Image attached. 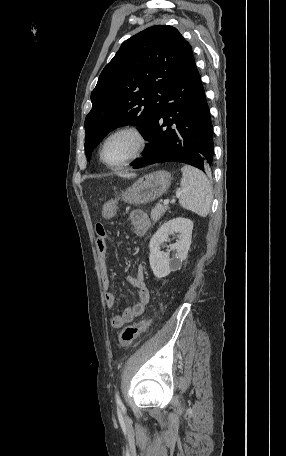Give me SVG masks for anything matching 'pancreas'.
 Returning a JSON list of instances; mask_svg holds the SVG:
<instances>
[{
    "label": "pancreas",
    "mask_w": 286,
    "mask_h": 456,
    "mask_svg": "<svg viewBox=\"0 0 286 456\" xmlns=\"http://www.w3.org/2000/svg\"><path fill=\"white\" fill-rule=\"evenodd\" d=\"M167 209H169L167 205L157 204L151 211V219L154 222H157L162 217V215H164Z\"/></svg>",
    "instance_id": "1"
}]
</instances>
